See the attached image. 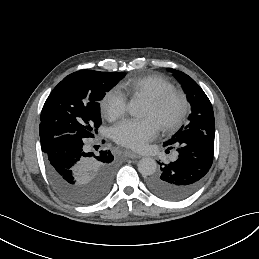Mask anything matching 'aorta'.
<instances>
[{
  "mask_svg": "<svg viewBox=\"0 0 259 259\" xmlns=\"http://www.w3.org/2000/svg\"><path fill=\"white\" fill-rule=\"evenodd\" d=\"M130 115L139 117L143 114V105L138 99H132L127 105ZM157 163L153 158H142L138 162V170L143 176H150L156 172Z\"/></svg>",
  "mask_w": 259,
  "mask_h": 259,
  "instance_id": "aorta-1",
  "label": "aorta"
}]
</instances>
